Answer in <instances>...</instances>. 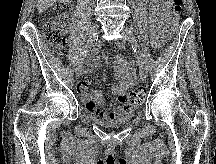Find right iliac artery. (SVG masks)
I'll use <instances>...</instances> for the list:
<instances>
[{
	"label": "right iliac artery",
	"mask_w": 216,
	"mask_h": 164,
	"mask_svg": "<svg viewBox=\"0 0 216 164\" xmlns=\"http://www.w3.org/2000/svg\"><path fill=\"white\" fill-rule=\"evenodd\" d=\"M95 41H97V38H96V36H95V38L92 40V41H90V42H87V45L85 46V48L83 49V51L81 52V57L79 58V62L77 63L78 64V68L80 69L82 66H81V62H83L84 61V59L86 58V55H87V53H88V51H89V49H91L92 48V46H93V44L95 43Z\"/></svg>",
	"instance_id": "obj_1"
}]
</instances>
